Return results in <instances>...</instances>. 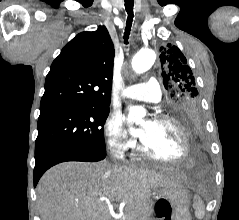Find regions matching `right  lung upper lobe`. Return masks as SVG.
<instances>
[{"label": "right lung upper lobe", "mask_w": 239, "mask_h": 220, "mask_svg": "<svg viewBox=\"0 0 239 220\" xmlns=\"http://www.w3.org/2000/svg\"><path fill=\"white\" fill-rule=\"evenodd\" d=\"M114 55V45L105 26L76 35L51 65L40 112L109 107Z\"/></svg>", "instance_id": "obj_1"}]
</instances>
